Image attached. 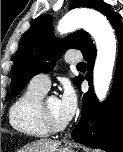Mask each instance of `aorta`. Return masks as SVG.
Returning a JSON list of instances; mask_svg holds the SVG:
<instances>
[{"mask_svg":"<svg viewBox=\"0 0 123 152\" xmlns=\"http://www.w3.org/2000/svg\"><path fill=\"white\" fill-rule=\"evenodd\" d=\"M83 28L91 34L97 46L93 71L95 94L104 100L109 90L116 57V38L106 17L93 10H76L67 13L58 23L57 30L66 34Z\"/></svg>","mask_w":123,"mask_h":152,"instance_id":"762f6f07","label":"aorta"}]
</instances>
